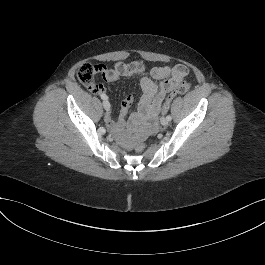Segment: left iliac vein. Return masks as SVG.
Listing matches in <instances>:
<instances>
[{
  "label": "left iliac vein",
  "instance_id": "obj_1",
  "mask_svg": "<svg viewBox=\"0 0 265 265\" xmlns=\"http://www.w3.org/2000/svg\"><path fill=\"white\" fill-rule=\"evenodd\" d=\"M160 123H161V125L166 126V125H168V119L166 117H162L160 119Z\"/></svg>",
  "mask_w": 265,
  "mask_h": 265
}]
</instances>
